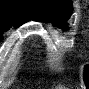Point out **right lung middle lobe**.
Wrapping results in <instances>:
<instances>
[{
  "instance_id": "1",
  "label": "right lung middle lobe",
  "mask_w": 89,
  "mask_h": 89,
  "mask_svg": "<svg viewBox=\"0 0 89 89\" xmlns=\"http://www.w3.org/2000/svg\"><path fill=\"white\" fill-rule=\"evenodd\" d=\"M7 29H9V27H0V31H1V32L5 31V30H7ZM1 38H2V36H1Z\"/></svg>"
}]
</instances>
